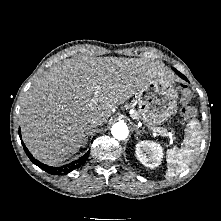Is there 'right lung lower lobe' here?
<instances>
[{
    "label": "right lung lower lobe",
    "instance_id": "right-lung-lower-lobe-1",
    "mask_svg": "<svg viewBox=\"0 0 221 221\" xmlns=\"http://www.w3.org/2000/svg\"><path fill=\"white\" fill-rule=\"evenodd\" d=\"M19 136L21 138L20 130H19ZM22 145H23V148H24L27 156L32 161V163H34L35 165L40 167L42 170H44V171H46L47 173H50V174H58V175L67 174V173L71 172L72 170L81 167L86 162V160L88 159V156H89V152H87V153H85V155L80 157L78 160L73 161V162H71V163H69L65 166L53 167V166H48L46 164H43L40 161L36 160L32 156V154L29 152V150L26 148V146L24 145L23 142H22Z\"/></svg>",
    "mask_w": 221,
    "mask_h": 221
}]
</instances>
